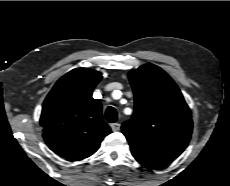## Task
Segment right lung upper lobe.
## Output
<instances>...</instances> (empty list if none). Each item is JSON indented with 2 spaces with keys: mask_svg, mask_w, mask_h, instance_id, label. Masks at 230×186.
<instances>
[{
  "mask_svg": "<svg viewBox=\"0 0 230 186\" xmlns=\"http://www.w3.org/2000/svg\"><path fill=\"white\" fill-rule=\"evenodd\" d=\"M102 74L76 68L65 74L47 95L40 124L49 148L69 160H82L99 148L111 133L104 122L101 103L92 97Z\"/></svg>",
  "mask_w": 230,
  "mask_h": 186,
  "instance_id": "right-lung-upper-lobe-1",
  "label": "right lung upper lobe"
}]
</instances>
